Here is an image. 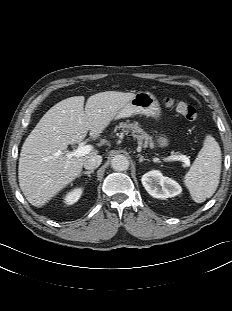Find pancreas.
Returning <instances> with one entry per match:
<instances>
[{
	"mask_svg": "<svg viewBox=\"0 0 232 311\" xmlns=\"http://www.w3.org/2000/svg\"><path fill=\"white\" fill-rule=\"evenodd\" d=\"M117 130H122L125 134L131 133V135L138 140V143L143 144L144 147L149 145L150 148H154L155 146L152 137L136 122L130 123L129 120L126 122H120L119 125L115 127V131Z\"/></svg>",
	"mask_w": 232,
	"mask_h": 311,
	"instance_id": "obj_1",
	"label": "pancreas"
}]
</instances>
